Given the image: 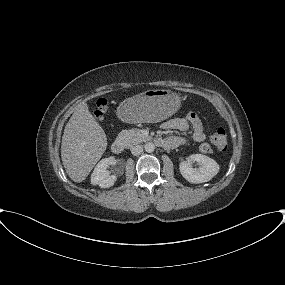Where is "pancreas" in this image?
Segmentation results:
<instances>
[{
    "instance_id": "pancreas-1",
    "label": "pancreas",
    "mask_w": 285,
    "mask_h": 285,
    "mask_svg": "<svg viewBox=\"0 0 285 285\" xmlns=\"http://www.w3.org/2000/svg\"><path fill=\"white\" fill-rule=\"evenodd\" d=\"M119 138L124 140L127 145L137 144L146 139V137L138 130H123L119 133Z\"/></svg>"
}]
</instances>
